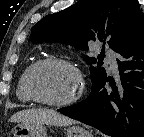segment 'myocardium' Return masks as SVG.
Here are the masks:
<instances>
[{
  "label": "myocardium",
  "mask_w": 144,
  "mask_h": 137,
  "mask_svg": "<svg viewBox=\"0 0 144 137\" xmlns=\"http://www.w3.org/2000/svg\"><path fill=\"white\" fill-rule=\"evenodd\" d=\"M47 65L64 66L66 68H69L76 74V77L78 79V89L71 98L64 101H51V100L44 99L43 97L37 94L33 86L34 75L40 68ZM25 88L30 98L37 103L50 106V107H67L73 105L81 98L84 92V79L80 69L72 62L60 58H45L35 62L30 67L26 77Z\"/></svg>",
  "instance_id": "myocardium-1"
}]
</instances>
